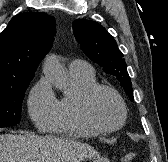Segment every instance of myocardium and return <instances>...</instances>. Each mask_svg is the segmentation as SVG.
<instances>
[{
  "instance_id": "obj_1",
  "label": "myocardium",
  "mask_w": 168,
  "mask_h": 162,
  "mask_svg": "<svg viewBox=\"0 0 168 162\" xmlns=\"http://www.w3.org/2000/svg\"><path fill=\"white\" fill-rule=\"evenodd\" d=\"M101 90L111 93L116 98L120 106L121 119L116 125L104 126L95 119L92 113V110H91L92 99L95 96V94ZM79 109L84 121L99 132H114V131L120 130L125 125L128 117L127 106L123 97L115 88L106 84L96 83L91 87H89L87 90H85L80 98Z\"/></svg>"
}]
</instances>
